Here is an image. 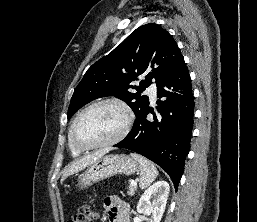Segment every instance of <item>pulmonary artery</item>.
<instances>
[{
	"label": "pulmonary artery",
	"mask_w": 257,
	"mask_h": 222,
	"mask_svg": "<svg viewBox=\"0 0 257 222\" xmlns=\"http://www.w3.org/2000/svg\"><path fill=\"white\" fill-rule=\"evenodd\" d=\"M146 92L149 94L152 101L156 99V86L154 84L150 85Z\"/></svg>",
	"instance_id": "obj_1"
}]
</instances>
